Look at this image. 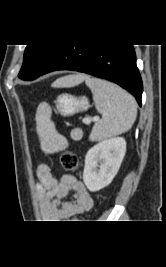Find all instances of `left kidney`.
I'll use <instances>...</instances> for the list:
<instances>
[{
  "label": "left kidney",
  "instance_id": "5707ae66",
  "mask_svg": "<svg viewBox=\"0 0 166 267\" xmlns=\"http://www.w3.org/2000/svg\"><path fill=\"white\" fill-rule=\"evenodd\" d=\"M126 152V141L114 137L99 142L85 157L83 181L91 192L108 186L116 176Z\"/></svg>",
  "mask_w": 166,
  "mask_h": 267
}]
</instances>
